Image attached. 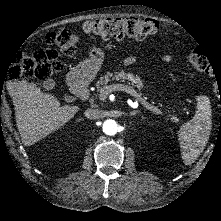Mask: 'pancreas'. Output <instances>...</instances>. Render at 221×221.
<instances>
[{
  "label": "pancreas",
  "instance_id": "1",
  "mask_svg": "<svg viewBox=\"0 0 221 221\" xmlns=\"http://www.w3.org/2000/svg\"><path fill=\"white\" fill-rule=\"evenodd\" d=\"M126 81L128 83H132L133 86L138 87L140 89H144L145 87L143 86V81L145 80L144 78H140L138 76H134L133 73L128 72L125 74L124 71L122 70H115L112 72H108L102 77H99L95 81V85L97 88L104 90V88L109 85L112 82H122ZM115 85H112L110 87H114ZM177 120V119H176Z\"/></svg>",
  "mask_w": 221,
  "mask_h": 221
}]
</instances>
